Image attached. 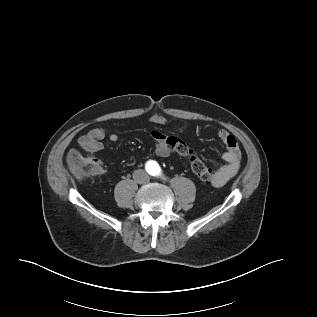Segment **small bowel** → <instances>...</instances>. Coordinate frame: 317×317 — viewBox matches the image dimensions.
Returning a JSON list of instances; mask_svg holds the SVG:
<instances>
[{"mask_svg": "<svg viewBox=\"0 0 317 317\" xmlns=\"http://www.w3.org/2000/svg\"><path fill=\"white\" fill-rule=\"evenodd\" d=\"M150 121L158 125H165L168 122L167 118L161 112H154L150 116ZM153 137L156 142V154L160 157L165 158L174 153L180 154V151L188 147L183 140L176 137H166L159 131H154ZM105 138L111 142H116L119 139L117 134L107 133L104 128L94 127L90 129L85 135L79 138L78 144L80 150L70 151L68 161L72 163L76 157L93 160V154L104 148L103 140ZM218 138L226 147V151L222 155L225 164L214 173L211 182L214 187H220L233 178L238 172L241 163V150L237 139L226 130H220ZM96 165L98 173H104V168L100 164Z\"/></svg>", "mask_w": 317, "mask_h": 317, "instance_id": "small-bowel-1", "label": "small bowel"}]
</instances>
